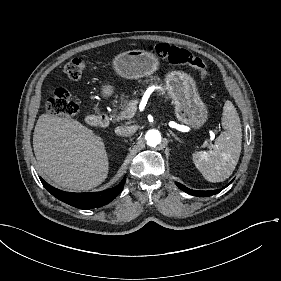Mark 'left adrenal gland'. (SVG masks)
<instances>
[{"label": "left adrenal gland", "mask_w": 281, "mask_h": 281, "mask_svg": "<svg viewBox=\"0 0 281 281\" xmlns=\"http://www.w3.org/2000/svg\"><path fill=\"white\" fill-rule=\"evenodd\" d=\"M168 131L180 144L187 143V141H184L183 139L179 138L171 129H169Z\"/></svg>", "instance_id": "a2214340"}]
</instances>
